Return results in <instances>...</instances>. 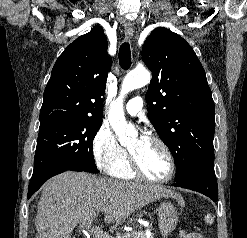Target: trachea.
<instances>
[{"label":"trachea","mask_w":247,"mask_h":238,"mask_svg":"<svg viewBox=\"0 0 247 238\" xmlns=\"http://www.w3.org/2000/svg\"><path fill=\"white\" fill-rule=\"evenodd\" d=\"M119 64L123 70H127L131 66V51L128 42L122 43L119 48Z\"/></svg>","instance_id":"obj_1"}]
</instances>
